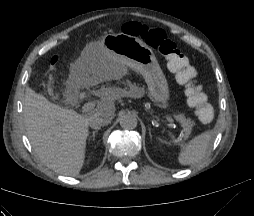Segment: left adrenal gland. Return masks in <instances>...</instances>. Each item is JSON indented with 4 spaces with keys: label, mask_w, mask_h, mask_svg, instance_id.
<instances>
[{
    "label": "left adrenal gland",
    "mask_w": 254,
    "mask_h": 216,
    "mask_svg": "<svg viewBox=\"0 0 254 216\" xmlns=\"http://www.w3.org/2000/svg\"><path fill=\"white\" fill-rule=\"evenodd\" d=\"M149 135H150V137H152V135H151V129L149 128Z\"/></svg>",
    "instance_id": "left-adrenal-gland-1"
}]
</instances>
